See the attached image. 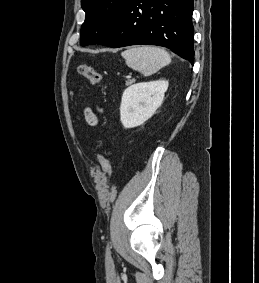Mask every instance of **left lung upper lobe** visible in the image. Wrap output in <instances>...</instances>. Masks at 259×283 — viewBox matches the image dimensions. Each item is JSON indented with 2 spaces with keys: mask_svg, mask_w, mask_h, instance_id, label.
I'll list each match as a JSON object with an SVG mask.
<instances>
[{
  "mask_svg": "<svg viewBox=\"0 0 259 283\" xmlns=\"http://www.w3.org/2000/svg\"><path fill=\"white\" fill-rule=\"evenodd\" d=\"M129 0H81L86 18L80 31V44H97L113 30Z\"/></svg>",
  "mask_w": 259,
  "mask_h": 283,
  "instance_id": "obj_1",
  "label": "left lung upper lobe"
}]
</instances>
